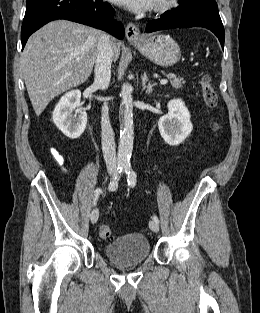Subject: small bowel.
<instances>
[{
    "instance_id": "c3829d8e",
    "label": "small bowel",
    "mask_w": 260,
    "mask_h": 313,
    "mask_svg": "<svg viewBox=\"0 0 260 313\" xmlns=\"http://www.w3.org/2000/svg\"><path fill=\"white\" fill-rule=\"evenodd\" d=\"M51 155L54 157V159H55L58 163H62V158H61L60 154H59L55 149H52V150H51ZM66 175H68V173H66Z\"/></svg>"
}]
</instances>
